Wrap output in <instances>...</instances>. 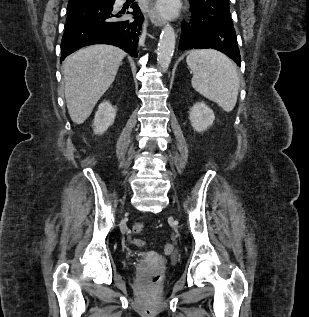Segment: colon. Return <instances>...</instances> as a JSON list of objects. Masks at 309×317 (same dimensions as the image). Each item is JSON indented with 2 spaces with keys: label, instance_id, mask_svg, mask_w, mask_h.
I'll list each match as a JSON object with an SVG mask.
<instances>
[{
  "label": "colon",
  "instance_id": "obj_1",
  "mask_svg": "<svg viewBox=\"0 0 309 317\" xmlns=\"http://www.w3.org/2000/svg\"><path fill=\"white\" fill-rule=\"evenodd\" d=\"M143 228H144L143 224L138 222V223H135V224L132 226V231H133V233H140V232H142ZM131 243H132L134 246H136V247H142V246L145 245V242H144L142 239H138V238L133 239V240L131 241ZM165 250H166L167 252H171V251L173 250L172 245L167 244V245L165 246Z\"/></svg>",
  "mask_w": 309,
  "mask_h": 317
}]
</instances>
